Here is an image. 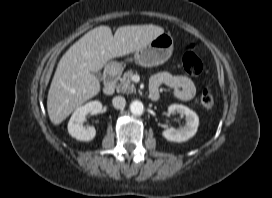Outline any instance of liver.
Wrapping results in <instances>:
<instances>
[{
	"mask_svg": "<svg viewBox=\"0 0 272 198\" xmlns=\"http://www.w3.org/2000/svg\"><path fill=\"white\" fill-rule=\"evenodd\" d=\"M164 33L156 25L119 27L114 36L110 27L99 26L82 36L60 59L47 97L51 122L59 125L77 107L97 95L99 72L112 58L121 57L146 47Z\"/></svg>",
	"mask_w": 272,
	"mask_h": 198,
	"instance_id": "obj_1",
	"label": "liver"
}]
</instances>
